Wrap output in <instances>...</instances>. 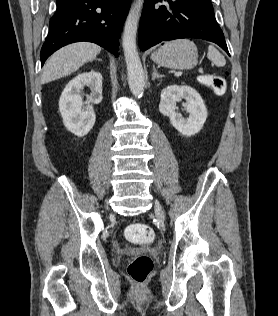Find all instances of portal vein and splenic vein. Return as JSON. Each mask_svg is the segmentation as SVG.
<instances>
[{"mask_svg":"<svg viewBox=\"0 0 278 316\" xmlns=\"http://www.w3.org/2000/svg\"><path fill=\"white\" fill-rule=\"evenodd\" d=\"M182 74H183L182 71H178V72L175 73V76H176V77H180V76H182Z\"/></svg>","mask_w":278,"mask_h":316,"instance_id":"portal-vein-and-splenic-vein-1","label":"portal vein and splenic vein"}]
</instances>
